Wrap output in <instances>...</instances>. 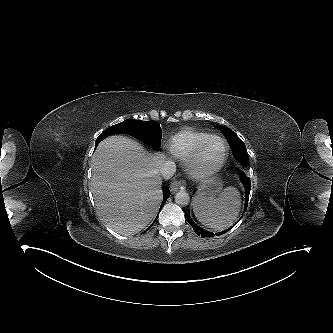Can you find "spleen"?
<instances>
[{"mask_svg":"<svg viewBox=\"0 0 333 333\" xmlns=\"http://www.w3.org/2000/svg\"><path fill=\"white\" fill-rule=\"evenodd\" d=\"M239 192L227 187L217 197L196 196L193 211L199 222L214 230H223L233 224L240 211Z\"/></svg>","mask_w":333,"mask_h":333,"instance_id":"1","label":"spleen"}]
</instances>
